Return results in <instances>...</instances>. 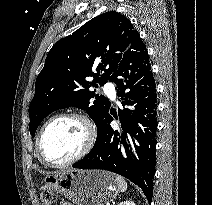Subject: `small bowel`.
Returning a JSON list of instances; mask_svg holds the SVG:
<instances>
[{"label": "small bowel", "instance_id": "obj_1", "mask_svg": "<svg viewBox=\"0 0 212 205\" xmlns=\"http://www.w3.org/2000/svg\"><path fill=\"white\" fill-rule=\"evenodd\" d=\"M60 205H72L71 203H67V202H63V203H60Z\"/></svg>", "mask_w": 212, "mask_h": 205}]
</instances>
